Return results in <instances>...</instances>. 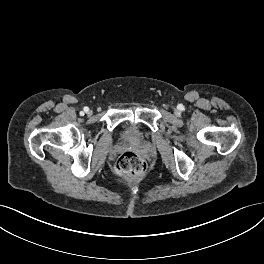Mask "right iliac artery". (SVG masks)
Masks as SVG:
<instances>
[{
	"label": "right iliac artery",
	"mask_w": 264,
	"mask_h": 264,
	"mask_svg": "<svg viewBox=\"0 0 264 264\" xmlns=\"http://www.w3.org/2000/svg\"><path fill=\"white\" fill-rule=\"evenodd\" d=\"M89 108L88 107H84V111L88 112Z\"/></svg>",
	"instance_id": "right-iliac-artery-1"
}]
</instances>
